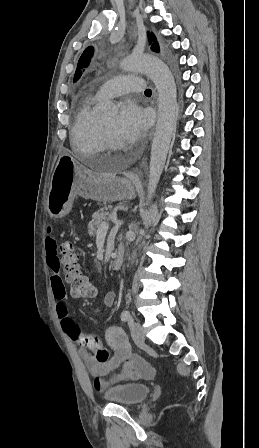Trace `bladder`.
<instances>
[{
  "instance_id": "bladder-1",
  "label": "bladder",
  "mask_w": 259,
  "mask_h": 448,
  "mask_svg": "<svg viewBox=\"0 0 259 448\" xmlns=\"http://www.w3.org/2000/svg\"><path fill=\"white\" fill-rule=\"evenodd\" d=\"M150 393V386L145 383H126L109 387L104 392L107 401L133 406L141 403Z\"/></svg>"
}]
</instances>
